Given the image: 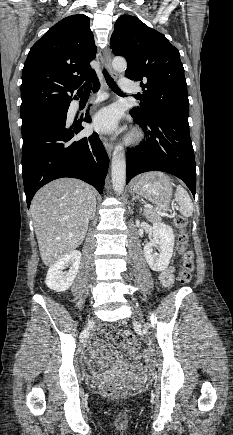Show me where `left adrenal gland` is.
Here are the masks:
<instances>
[{"label":"left adrenal gland","mask_w":233,"mask_h":435,"mask_svg":"<svg viewBox=\"0 0 233 435\" xmlns=\"http://www.w3.org/2000/svg\"><path fill=\"white\" fill-rule=\"evenodd\" d=\"M135 200H139V198H137V197L135 196V194L132 193V201H135Z\"/></svg>","instance_id":"obj_1"}]
</instances>
